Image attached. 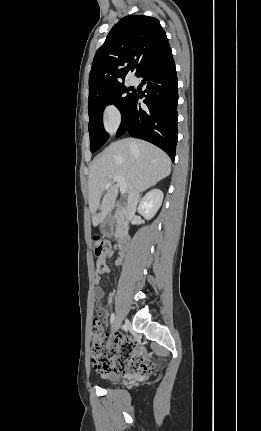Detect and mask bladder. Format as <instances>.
<instances>
[{"mask_svg":"<svg viewBox=\"0 0 261 431\" xmlns=\"http://www.w3.org/2000/svg\"><path fill=\"white\" fill-rule=\"evenodd\" d=\"M108 381H109L110 383H113V378H108Z\"/></svg>","mask_w":261,"mask_h":431,"instance_id":"obj_1","label":"bladder"}]
</instances>
